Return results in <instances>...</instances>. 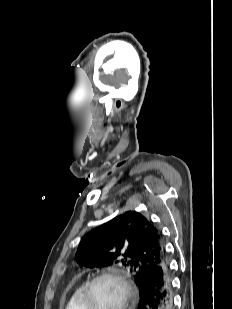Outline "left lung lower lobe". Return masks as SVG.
Segmentation results:
<instances>
[{
    "instance_id": "obj_1",
    "label": "left lung lower lobe",
    "mask_w": 232,
    "mask_h": 309,
    "mask_svg": "<svg viewBox=\"0 0 232 309\" xmlns=\"http://www.w3.org/2000/svg\"><path fill=\"white\" fill-rule=\"evenodd\" d=\"M137 309H173V288L167 258L153 267L139 290Z\"/></svg>"
}]
</instances>
